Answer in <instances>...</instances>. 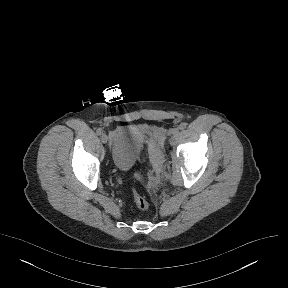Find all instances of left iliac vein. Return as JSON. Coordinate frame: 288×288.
Segmentation results:
<instances>
[{
	"mask_svg": "<svg viewBox=\"0 0 288 288\" xmlns=\"http://www.w3.org/2000/svg\"><path fill=\"white\" fill-rule=\"evenodd\" d=\"M178 132H179V129H178V128H173V129L170 130V134H172V135H175V134H177Z\"/></svg>",
	"mask_w": 288,
	"mask_h": 288,
	"instance_id": "4c4485c4",
	"label": "left iliac vein"
}]
</instances>
